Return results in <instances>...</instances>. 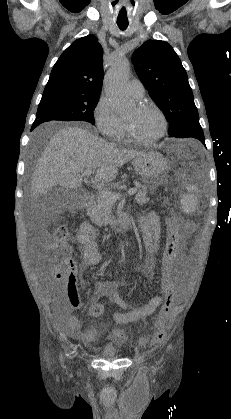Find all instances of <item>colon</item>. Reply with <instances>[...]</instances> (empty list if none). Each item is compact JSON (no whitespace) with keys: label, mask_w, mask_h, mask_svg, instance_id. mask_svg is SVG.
<instances>
[{"label":"colon","mask_w":231,"mask_h":419,"mask_svg":"<svg viewBox=\"0 0 231 419\" xmlns=\"http://www.w3.org/2000/svg\"><path fill=\"white\" fill-rule=\"evenodd\" d=\"M68 230L65 225H59L53 232L52 240L47 245L44 256L47 265L55 279L62 280L68 288L76 285L75 267L70 261V246L67 243ZM180 240L178 239L177 218L171 216L168 220V238L164 247V255L162 257L163 264H172L179 256ZM166 270L170 269L169 265L165 266ZM162 296L163 306L160 310L158 320L156 322V331L154 341L160 342L165 336L164 319L168 315L174 297L180 291V286L173 273H162ZM104 312V307L97 304L92 308L95 316H100ZM113 337L117 341L126 340L124 332L116 329Z\"/></svg>","instance_id":"colon-1"}]
</instances>
